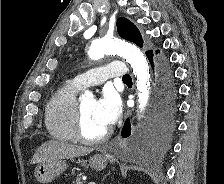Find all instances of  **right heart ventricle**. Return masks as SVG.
I'll return each mask as SVG.
<instances>
[{
  "label": "right heart ventricle",
  "instance_id": "obj_1",
  "mask_svg": "<svg viewBox=\"0 0 224 184\" xmlns=\"http://www.w3.org/2000/svg\"><path fill=\"white\" fill-rule=\"evenodd\" d=\"M78 90L75 84L68 82L59 87L49 98L45 107V125L53 139L75 141L73 118Z\"/></svg>",
  "mask_w": 224,
  "mask_h": 184
}]
</instances>
